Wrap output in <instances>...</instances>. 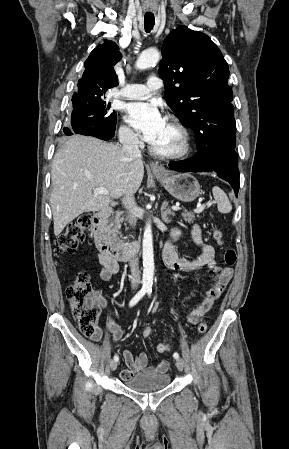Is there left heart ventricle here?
<instances>
[{"label": "left heart ventricle", "mask_w": 289, "mask_h": 449, "mask_svg": "<svg viewBox=\"0 0 289 449\" xmlns=\"http://www.w3.org/2000/svg\"><path fill=\"white\" fill-rule=\"evenodd\" d=\"M180 144V135L166 122L163 130L151 145L161 152H173L180 147Z\"/></svg>", "instance_id": "1"}]
</instances>
